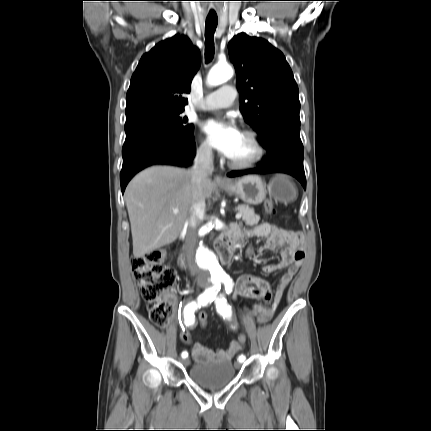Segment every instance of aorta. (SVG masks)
Instances as JSON below:
<instances>
[{
  "instance_id": "aorta-1",
  "label": "aorta",
  "mask_w": 431,
  "mask_h": 431,
  "mask_svg": "<svg viewBox=\"0 0 431 431\" xmlns=\"http://www.w3.org/2000/svg\"><path fill=\"white\" fill-rule=\"evenodd\" d=\"M233 76V69L228 64L215 65L208 74L207 83L210 86H217L225 83ZM214 225L208 222L201 226L199 239H206L213 232ZM196 262L204 271L208 272V284L210 287L218 286L227 278L226 273L220 266L213 251L206 245L201 244L196 252Z\"/></svg>"
}]
</instances>
